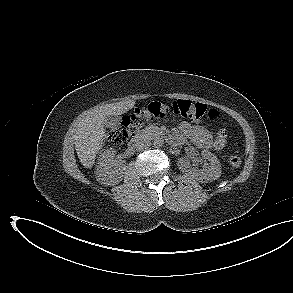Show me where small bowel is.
Here are the masks:
<instances>
[{
    "mask_svg": "<svg viewBox=\"0 0 293 293\" xmlns=\"http://www.w3.org/2000/svg\"><path fill=\"white\" fill-rule=\"evenodd\" d=\"M180 130L181 134L175 138L176 141H181L183 137H187L201 149L216 148L212 135L203 126L184 121L180 125Z\"/></svg>",
    "mask_w": 293,
    "mask_h": 293,
    "instance_id": "obj_1",
    "label": "small bowel"
}]
</instances>
